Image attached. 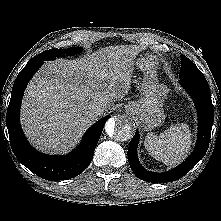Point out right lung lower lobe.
<instances>
[{
	"label": "right lung lower lobe",
	"mask_w": 221,
	"mask_h": 221,
	"mask_svg": "<svg viewBox=\"0 0 221 221\" xmlns=\"http://www.w3.org/2000/svg\"><path fill=\"white\" fill-rule=\"evenodd\" d=\"M43 64V60H30L18 74L11 92L6 124L12 151L29 170L43 179L57 181L81 174L90 164L103 127L110 115L97 121L86 132L79 147L65 156H49L33 149L20 126L19 114L22 96L29 80Z\"/></svg>",
	"instance_id": "98d812e1"
}]
</instances>
